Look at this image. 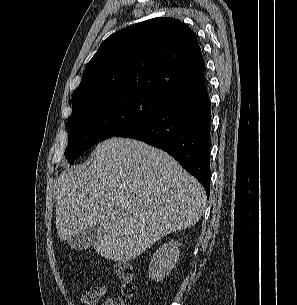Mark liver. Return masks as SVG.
I'll return each instance as SVG.
<instances>
[{"mask_svg":"<svg viewBox=\"0 0 297 305\" xmlns=\"http://www.w3.org/2000/svg\"><path fill=\"white\" fill-rule=\"evenodd\" d=\"M88 167L67 168L56 182V228L68 240L94 224L105 259L127 262L155 242L196 224L203 186L166 152L113 137L98 144Z\"/></svg>","mask_w":297,"mask_h":305,"instance_id":"1","label":"liver"}]
</instances>
